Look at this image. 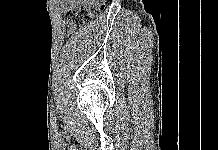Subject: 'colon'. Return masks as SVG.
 <instances>
[{"mask_svg":"<svg viewBox=\"0 0 218 150\" xmlns=\"http://www.w3.org/2000/svg\"><path fill=\"white\" fill-rule=\"evenodd\" d=\"M105 0H97L94 4L87 7L69 9L63 22L65 34H71L83 26L91 23L104 9Z\"/></svg>","mask_w":218,"mask_h":150,"instance_id":"5ec220e1","label":"colon"}]
</instances>
